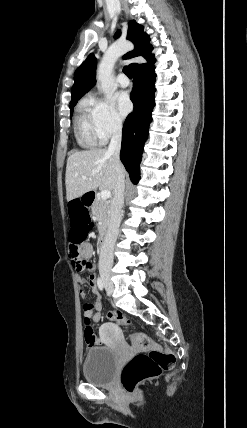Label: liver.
Returning a JSON list of instances; mask_svg holds the SVG:
<instances>
[{
  "mask_svg": "<svg viewBox=\"0 0 247 428\" xmlns=\"http://www.w3.org/2000/svg\"><path fill=\"white\" fill-rule=\"evenodd\" d=\"M124 170V168H123ZM86 176L87 179H83ZM116 183L115 159L103 148L75 152L66 166L67 201L97 189L113 191Z\"/></svg>",
  "mask_w": 247,
  "mask_h": 428,
  "instance_id": "obj_1",
  "label": "liver"
}]
</instances>
